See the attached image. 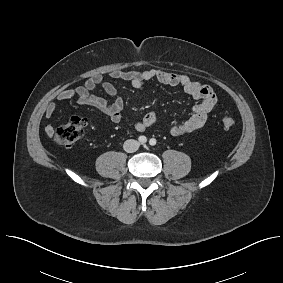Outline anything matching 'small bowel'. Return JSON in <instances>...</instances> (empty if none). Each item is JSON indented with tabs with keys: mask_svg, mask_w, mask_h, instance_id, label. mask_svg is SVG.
<instances>
[{
	"mask_svg": "<svg viewBox=\"0 0 283 283\" xmlns=\"http://www.w3.org/2000/svg\"><path fill=\"white\" fill-rule=\"evenodd\" d=\"M110 77L127 81L135 88L143 87L147 82L155 80L164 85L180 87L188 95L196 99L197 103L192 108L189 118L170 126V133L174 136L188 134L203 127L217 102V96L212 87L195 81L185 74L151 68L143 71L114 70L110 73ZM98 87H101L112 100H107L99 95L96 92ZM56 98L59 101L76 98L78 104L99 110L113 123L121 121L124 101L119 96L116 87L111 82L105 81L101 75L88 78L82 86L59 92ZM56 110L57 104L55 102L48 103L44 109L45 117L51 118ZM158 122L159 118L156 112L149 111L140 121L134 124V129L137 132H144L148 128L157 125ZM46 131L51 134L53 127L48 125Z\"/></svg>",
	"mask_w": 283,
	"mask_h": 283,
	"instance_id": "small-bowel-1",
	"label": "small bowel"
}]
</instances>
